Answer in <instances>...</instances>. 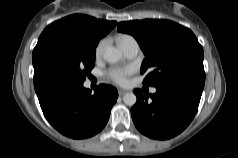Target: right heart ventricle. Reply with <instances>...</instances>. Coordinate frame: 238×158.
<instances>
[{
    "label": "right heart ventricle",
    "mask_w": 238,
    "mask_h": 158,
    "mask_svg": "<svg viewBox=\"0 0 238 158\" xmlns=\"http://www.w3.org/2000/svg\"><path fill=\"white\" fill-rule=\"evenodd\" d=\"M132 37L129 35H120L118 37V42L120 43V45H122L123 43H125L127 40L131 39Z\"/></svg>",
    "instance_id": "1"
}]
</instances>
